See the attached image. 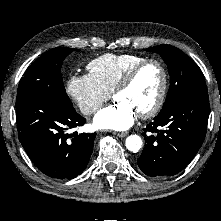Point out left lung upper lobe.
I'll use <instances>...</instances> for the list:
<instances>
[{"label":"left lung upper lobe","instance_id":"left-lung-upper-lobe-1","mask_svg":"<svg viewBox=\"0 0 221 221\" xmlns=\"http://www.w3.org/2000/svg\"><path fill=\"white\" fill-rule=\"evenodd\" d=\"M146 51L161 55L168 66L171 78L168 95L160 113L190 96L208 93L202 71L181 50L171 45H158Z\"/></svg>","mask_w":221,"mask_h":221}]
</instances>
